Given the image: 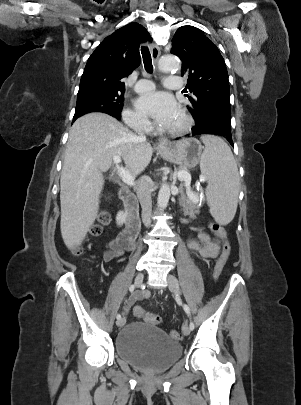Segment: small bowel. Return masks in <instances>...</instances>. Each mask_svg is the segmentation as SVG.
<instances>
[{
    "label": "small bowel",
    "instance_id": "small-bowel-1",
    "mask_svg": "<svg viewBox=\"0 0 301 405\" xmlns=\"http://www.w3.org/2000/svg\"><path fill=\"white\" fill-rule=\"evenodd\" d=\"M188 248L196 252L202 258H216L220 253V244L217 240L212 239L207 233L199 231L196 239L187 242ZM126 249L122 246L120 235L111 241L103 255L105 262H109L120 256ZM147 292L132 294L124 304V311H129L130 307L139 299L148 297Z\"/></svg>",
    "mask_w": 301,
    "mask_h": 405
}]
</instances>
